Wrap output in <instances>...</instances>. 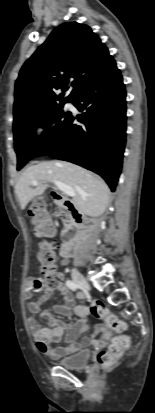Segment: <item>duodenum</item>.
<instances>
[{
  "label": "duodenum",
  "mask_w": 155,
  "mask_h": 413,
  "mask_svg": "<svg viewBox=\"0 0 155 413\" xmlns=\"http://www.w3.org/2000/svg\"><path fill=\"white\" fill-rule=\"evenodd\" d=\"M53 199L60 203L65 209L68 210L71 220L74 224L78 225L82 229L85 225V220L76 208L74 201L70 198L64 197L59 191L53 190L51 192ZM79 238H71L65 242L62 246V255L65 257H71L76 251V242Z\"/></svg>",
  "instance_id": "obj_1"
}]
</instances>
